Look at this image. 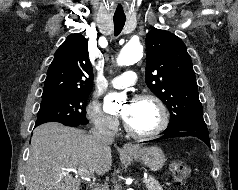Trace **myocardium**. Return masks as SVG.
Listing matches in <instances>:
<instances>
[{"mask_svg": "<svg viewBox=\"0 0 238 190\" xmlns=\"http://www.w3.org/2000/svg\"><path fill=\"white\" fill-rule=\"evenodd\" d=\"M134 100H147V101L152 102L156 106V108L159 112V123L151 131L138 132V131H135L134 129H132L128 125V123L125 121L124 128H125L126 132L130 136H132L136 139H150V138H154V137L160 135L167 128L168 123H169L168 111H167V108H166L165 104L163 103V101L159 97H157L156 95L151 94V93H139L134 96Z\"/></svg>", "mask_w": 238, "mask_h": 190, "instance_id": "myocardium-1", "label": "myocardium"}]
</instances>
